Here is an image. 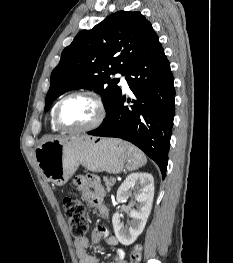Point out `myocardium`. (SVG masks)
Wrapping results in <instances>:
<instances>
[{
    "label": "myocardium",
    "mask_w": 233,
    "mask_h": 263,
    "mask_svg": "<svg viewBox=\"0 0 233 263\" xmlns=\"http://www.w3.org/2000/svg\"><path fill=\"white\" fill-rule=\"evenodd\" d=\"M78 96L88 97L91 100H93L97 107V115H96V118L93 120V122L87 126H84L81 128H69L61 122L60 110H61L62 105L68 99L73 98V97H78ZM105 116H106V106L101 96H99L97 93L92 92V91H75V92L67 94L66 96H64L62 99L58 101L55 107V112H54V123L62 131L70 132V133H83V132L92 131L98 128L102 124L103 120L105 119Z\"/></svg>",
    "instance_id": "1"
}]
</instances>
